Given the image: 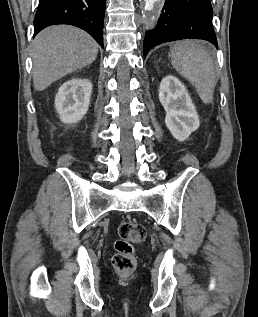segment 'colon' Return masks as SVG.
Masks as SVG:
<instances>
[{"instance_id": "5ec220e1", "label": "colon", "mask_w": 258, "mask_h": 317, "mask_svg": "<svg viewBox=\"0 0 258 317\" xmlns=\"http://www.w3.org/2000/svg\"><path fill=\"white\" fill-rule=\"evenodd\" d=\"M145 238L143 226L135 221H124L118 227V239L115 242L113 268L120 273H130L136 267L134 245Z\"/></svg>"}]
</instances>
